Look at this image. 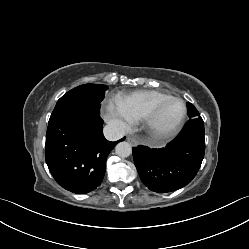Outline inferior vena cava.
Wrapping results in <instances>:
<instances>
[{"label":"inferior vena cava","mask_w":249,"mask_h":249,"mask_svg":"<svg viewBox=\"0 0 249 249\" xmlns=\"http://www.w3.org/2000/svg\"><path fill=\"white\" fill-rule=\"evenodd\" d=\"M103 133L105 138L109 141H117L125 135L124 130L114 124L106 125L103 129Z\"/></svg>","instance_id":"1"}]
</instances>
